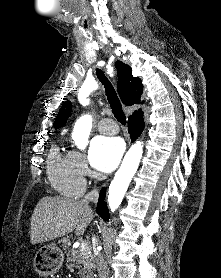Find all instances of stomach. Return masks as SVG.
Returning <instances> with one entry per match:
<instances>
[{"mask_svg":"<svg viewBox=\"0 0 221 278\" xmlns=\"http://www.w3.org/2000/svg\"><path fill=\"white\" fill-rule=\"evenodd\" d=\"M63 261L64 254L56 245H46L38 251L32 269L41 276H49L59 271Z\"/></svg>","mask_w":221,"mask_h":278,"instance_id":"1","label":"stomach"}]
</instances>
